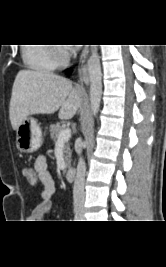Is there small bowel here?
<instances>
[{
	"label": "small bowel",
	"mask_w": 166,
	"mask_h": 267,
	"mask_svg": "<svg viewBox=\"0 0 166 267\" xmlns=\"http://www.w3.org/2000/svg\"><path fill=\"white\" fill-rule=\"evenodd\" d=\"M33 169L36 171V177L39 179L38 183L41 185V201L29 213L28 218L36 221L44 219L50 213L52 209L51 199L56 191V184L52 174L48 170L47 159L44 155L36 158Z\"/></svg>",
	"instance_id": "c3829d8e"
}]
</instances>
